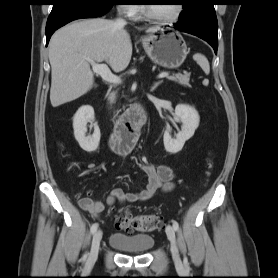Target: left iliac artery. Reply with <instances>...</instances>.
Here are the masks:
<instances>
[{
	"label": "left iliac artery",
	"instance_id": "obj_1",
	"mask_svg": "<svg viewBox=\"0 0 278 278\" xmlns=\"http://www.w3.org/2000/svg\"><path fill=\"white\" fill-rule=\"evenodd\" d=\"M173 228L175 231H178L179 230V224L177 221H173Z\"/></svg>",
	"mask_w": 278,
	"mask_h": 278
}]
</instances>
